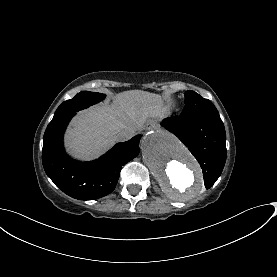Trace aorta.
Wrapping results in <instances>:
<instances>
[{
    "instance_id": "obj_1",
    "label": "aorta",
    "mask_w": 277,
    "mask_h": 277,
    "mask_svg": "<svg viewBox=\"0 0 277 277\" xmlns=\"http://www.w3.org/2000/svg\"><path fill=\"white\" fill-rule=\"evenodd\" d=\"M141 148L144 162L169 198L188 201L202 192L204 183L201 169L175 136L155 130L143 137Z\"/></svg>"
}]
</instances>
